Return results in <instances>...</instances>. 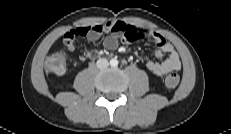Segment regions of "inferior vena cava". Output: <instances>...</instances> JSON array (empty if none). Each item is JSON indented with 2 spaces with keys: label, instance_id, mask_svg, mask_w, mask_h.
<instances>
[{
  "label": "inferior vena cava",
  "instance_id": "602c4592",
  "mask_svg": "<svg viewBox=\"0 0 231 134\" xmlns=\"http://www.w3.org/2000/svg\"><path fill=\"white\" fill-rule=\"evenodd\" d=\"M96 65L99 69H104L109 65V63L106 58H100L97 60Z\"/></svg>",
  "mask_w": 231,
  "mask_h": 134
}]
</instances>
